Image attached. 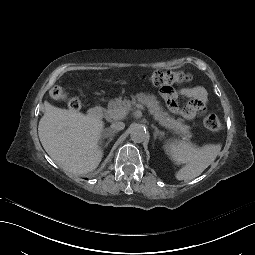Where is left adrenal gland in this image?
<instances>
[{
	"mask_svg": "<svg viewBox=\"0 0 255 255\" xmlns=\"http://www.w3.org/2000/svg\"><path fill=\"white\" fill-rule=\"evenodd\" d=\"M151 127L152 128H154V133H153V135H154V139H156L157 138V136H164V132L163 131H160L156 126H154L153 124L151 125Z\"/></svg>",
	"mask_w": 255,
	"mask_h": 255,
	"instance_id": "1",
	"label": "left adrenal gland"
}]
</instances>
